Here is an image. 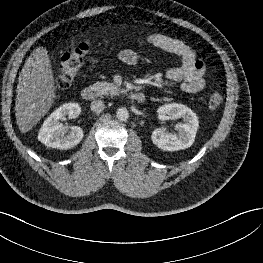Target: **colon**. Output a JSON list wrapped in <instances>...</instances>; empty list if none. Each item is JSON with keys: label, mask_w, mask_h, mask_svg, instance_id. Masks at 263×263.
<instances>
[{"label": "colon", "mask_w": 263, "mask_h": 263, "mask_svg": "<svg viewBox=\"0 0 263 263\" xmlns=\"http://www.w3.org/2000/svg\"><path fill=\"white\" fill-rule=\"evenodd\" d=\"M90 45V41L85 40L76 42L68 47L58 67L55 80L57 89L62 90L69 87L73 78L81 69ZM207 101L210 109L218 108L223 101L222 91L217 87L211 88L208 92Z\"/></svg>", "instance_id": "obj_1"}]
</instances>
